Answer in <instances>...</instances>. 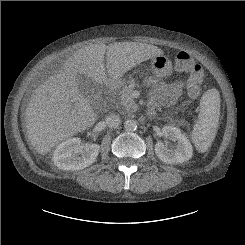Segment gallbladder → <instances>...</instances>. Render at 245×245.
<instances>
[{
    "label": "gallbladder",
    "mask_w": 245,
    "mask_h": 245,
    "mask_svg": "<svg viewBox=\"0 0 245 245\" xmlns=\"http://www.w3.org/2000/svg\"><path fill=\"white\" fill-rule=\"evenodd\" d=\"M79 81H80V85H79L80 91L86 95L89 94L90 91L94 88V83L84 75L79 76Z\"/></svg>",
    "instance_id": "obj_1"
}]
</instances>
